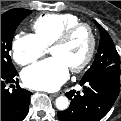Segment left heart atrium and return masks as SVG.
<instances>
[{
	"instance_id": "39dd6f15",
	"label": "left heart atrium",
	"mask_w": 121,
	"mask_h": 121,
	"mask_svg": "<svg viewBox=\"0 0 121 121\" xmlns=\"http://www.w3.org/2000/svg\"><path fill=\"white\" fill-rule=\"evenodd\" d=\"M69 76V66L59 56H52L36 63L22 72L24 83L33 89L53 91Z\"/></svg>"
}]
</instances>
